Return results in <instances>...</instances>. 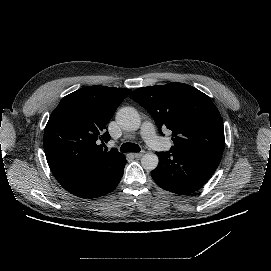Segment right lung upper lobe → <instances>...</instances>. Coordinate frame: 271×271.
<instances>
[{
    "instance_id": "1",
    "label": "right lung upper lobe",
    "mask_w": 271,
    "mask_h": 271,
    "mask_svg": "<svg viewBox=\"0 0 271 271\" xmlns=\"http://www.w3.org/2000/svg\"><path fill=\"white\" fill-rule=\"evenodd\" d=\"M130 91L86 86L65 96L51 113L44 151L53 175L67 191L91 186L120 164L124 155L103 150L102 139L110 140L106 126Z\"/></svg>"
}]
</instances>
